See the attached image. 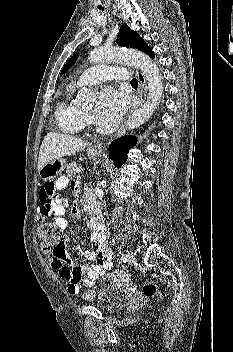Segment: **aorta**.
I'll return each mask as SVG.
<instances>
[{
  "instance_id": "aorta-1",
  "label": "aorta",
  "mask_w": 233,
  "mask_h": 352,
  "mask_svg": "<svg viewBox=\"0 0 233 352\" xmlns=\"http://www.w3.org/2000/svg\"><path fill=\"white\" fill-rule=\"evenodd\" d=\"M91 63L120 61L134 65L145 76L148 82V97L146 102L131 114L126 122L128 129H135L145 123L156 110L163 94V81L156 64L144 53L121 48L100 47L90 53ZM95 98L90 89L78 91L76 100L79 103H89Z\"/></svg>"
}]
</instances>
